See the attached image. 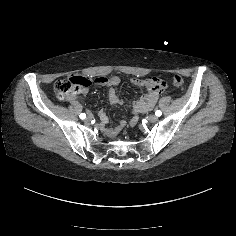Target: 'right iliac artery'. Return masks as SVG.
Instances as JSON below:
<instances>
[{
    "instance_id": "obj_1",
    "label": "right iliac artery",
    "mask_w": 236,
    "mask_h": 236,
    "mask_svg": "<svg viewBox=\"0 0 236 236\" xmlns=\"http://www.w3.org/2000/svg\"><path fill=\"white\" fill-rule=\"evenodd\" d=\"M79 117H80L81 119H85V118H86V114H85V113H81V114L79 115Z\"/></svg>"
}]
</instances>
